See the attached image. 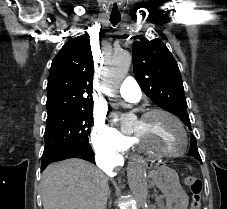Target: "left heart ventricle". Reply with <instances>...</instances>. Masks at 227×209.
<instances>
[{
  "mask_svg": "<svg viewBox=\"0 0 227 209\" xmlns=\"http://www.w3.org/2000/svg\"><path fill=\"white\" fill-rule=\"evenodd\" d=\"M133 132L159 151H174L183 145L180 128L173 120L161 113L136 121Z\"/></svg>",
  "mask_w": 227,
  "mask_h": 209,
  "instance_id": "left-heart-ventricle-1",
  "label": "left heart ventricle"
}]
</instances>
